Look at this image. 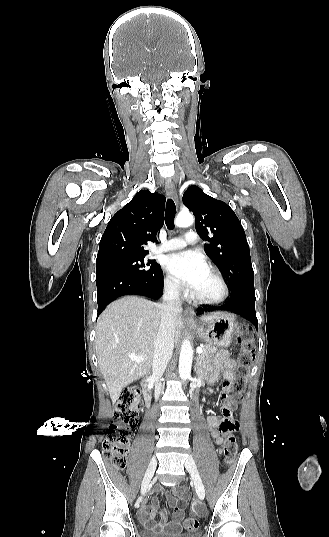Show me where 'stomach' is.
Segmentation results:
<instances>
[{
    "mask_svg": "<svg viewBox=\"0 0 329 537\" xmlns=\"http://www.w3.org/2000/svg\"><path fill=\"white\" fill-rule=\"evenodd\" d=\"M200 337L216 346L227 347L234 336L241 333V326L236 317L229 313H220L216 318L198 329Z\"/></svg>",
    "mask_w": 329,
    "mask_h": 537,
    "instance_id": "obj_1",
    "label": "stomach"
}]
</instances>
